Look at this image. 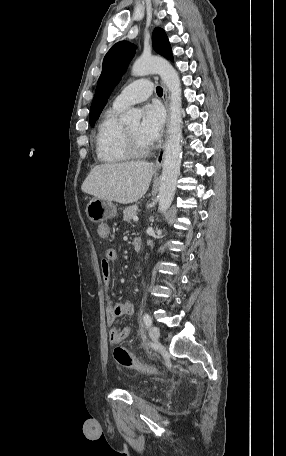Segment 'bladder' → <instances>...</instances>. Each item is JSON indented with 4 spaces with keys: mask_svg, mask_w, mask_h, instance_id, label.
I'll return each instance as SVG.
<instances>
[{
    "mask_svg": "<svg viewBox=\"0 0 286 456\" xmlns=\"http://www.w3.org/2000/svg\"><path fill=\"white\" fill-rule=\"evenodd\" d=\"M142 391L146 392V391H148V389H143Z\"/></svg>",
    "mask_w": 286,
    "mask_h": 456,
    "instance_id": "31cf9c89",
    "label": "bladder"
}]
</instances>
